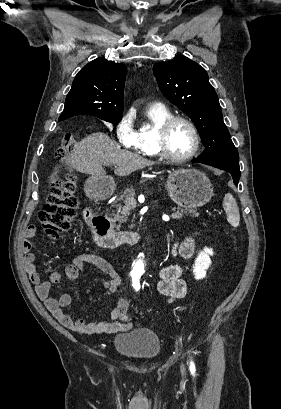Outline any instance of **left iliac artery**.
Returning <instances> with one entry per match:
<instances>
[{
    "label": "left iliac artery",
    "instance_id": "obj_1",
    "mask_svg": "<svg viewBox=\"0 0 281 409\" xmlns=\"http://www.w3.org/2000/svg\"><path fill=\"white\" fill-rule=\"evenodd\" d=\"M133 287H134V289L136 291H138L140 289V283H139V279L137 277L133 278ZM190 371H191L192 374L195 373V366H194L193 362H191V364H190Z\"/></svg>",
    "mask_w": 281,
    "mask_h": 409
}]
</instances>
